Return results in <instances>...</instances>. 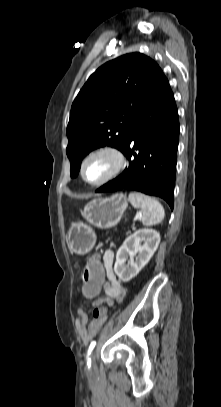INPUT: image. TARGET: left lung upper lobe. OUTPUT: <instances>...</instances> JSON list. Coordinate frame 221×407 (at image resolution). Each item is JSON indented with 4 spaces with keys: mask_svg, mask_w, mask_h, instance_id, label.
Masks as SVG:
<instances>
[{
    "mask_svg": "<svg viewBox=\"0 0 221 407\" xmlns=\"http://www.w3.org/2000/svg\"><path fill=\"white\" fill-rule=\"evenodd\" d=\"M165 77L151 58L130 53L99 67L75 98L67 126V156L75 178L82 159L109 145L123 151L141 109Z\"/></svg>",
    "mask_w": 221,
    "mask_h": 407,
    "instance_id": "left-lung-upper-lobe-1",
    "label": "left lung upper lobe"
}]
</instances>
